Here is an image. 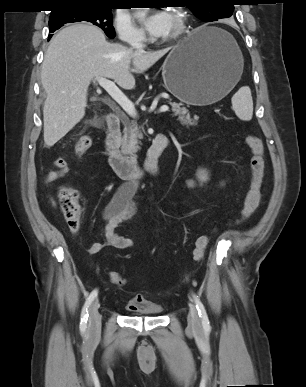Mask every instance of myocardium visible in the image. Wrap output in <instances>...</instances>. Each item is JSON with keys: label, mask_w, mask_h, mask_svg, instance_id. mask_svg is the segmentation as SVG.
<instances>
[{"label": "myocardium", "mask_w": 306, "mask_h": 387, "mask_svg": "<svg viewBox=\"0 0 306 387\" xmlns=\"http://www.w3.org/2000/svg\"><path fill=\"white\" fill-rule=\"evenodd\" d=\"M171 15L176 19L175 30L169 35V40H175L182 36L186 30V15L180 8L171 11Z\"/></svg>", "instance_id": "obj_1"}]
</instances>
